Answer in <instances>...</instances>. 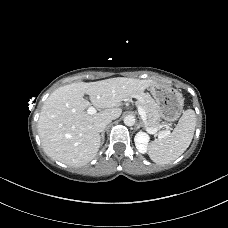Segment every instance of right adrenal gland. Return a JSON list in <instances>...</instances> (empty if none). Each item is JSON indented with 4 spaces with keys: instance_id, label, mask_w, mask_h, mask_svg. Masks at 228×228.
Instances as JSON below:
<instances>
[{
    "instance_id": "2a0ac1e0",
    "label": "right adrenal gland",
    "mask_w": 228,
    "mask_h": 228,
    "mask_svg": "<svg viewBox=\"0 0 228 228\" xmlns=\"http://www.w3.org/2000/svg\"><path fill=\"white\" fill-rule=\"evenodd\" d=\"M101 145L104 143V141H105V131H103L102 133H101Z\"/></svg>"
}]
</instances>
